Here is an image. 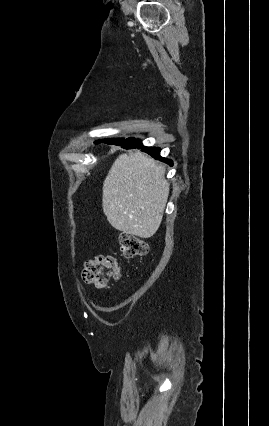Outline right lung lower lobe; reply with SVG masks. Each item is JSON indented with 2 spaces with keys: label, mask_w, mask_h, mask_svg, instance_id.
<instances>
[{
  "label": "right lung lower lobe",
  "mask_w": 269,
  "mask_h": 426,
  "mask_svg": "<svg viewBox=\"0 0 269 426\" xmlns=\"http://www.w3.org/2000/svg\"><path fill=\"white\" fill-rule=\"evenodd\" d=\"M106 143L108 144H115V145H119L122 146L123 148H138L141 149L143 152L148 153L149 155H151L152 157H154L155 159H158L160 161H163L169 165L172 166V161L166 158H163L160 156V148L158 147H146L144 146L140 140H136L135 138H127V139H118V140H105Z\"/></svg>",
  "instance_id": "obj_1"
}]
</instances>
